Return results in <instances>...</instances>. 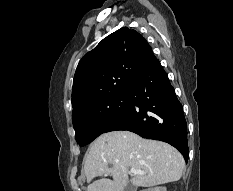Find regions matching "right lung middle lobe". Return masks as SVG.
Wrapping results in <instances>:
<instances>
[{"label":"right lung middle lobe","mask_w":233,"mask_h":191,"mask_svg":"<svg viewBox=\"0 0 233 191\" xmlns=\"http://www.w3.org/2000/svg\"><path fill=\"white\" fill-rule=\"evenodd\" d=\"M128 103L127 95H122L72 116L75 139L79 145L85 146L101 135L108 125L126 111Z\"/></svg>","instance_id":"right-lung-middle-lobe-1"}]
</instances>
